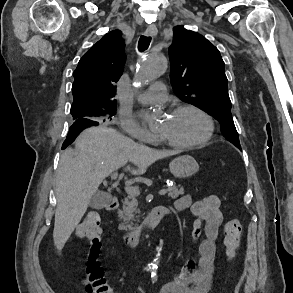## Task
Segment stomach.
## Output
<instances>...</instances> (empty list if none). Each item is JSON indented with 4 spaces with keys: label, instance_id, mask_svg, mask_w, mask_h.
<instances>
[{
    "label": "stomach",
    "instance_id": "obj_1",
    "mask_svg": "<svg viewBox=\"0 0 293 293\" xmlns=\"http://www.w3.org/2000/svg\"><path fill=\"white\" fill-rule=\"evenodd\" d=\"M170 172L175 178L185 179L199 170L197 161L190 155L175 158L169 165Z\"/></svg>",
    "mask_w": 293,
    "mask_h": 293
}]
</instances>
